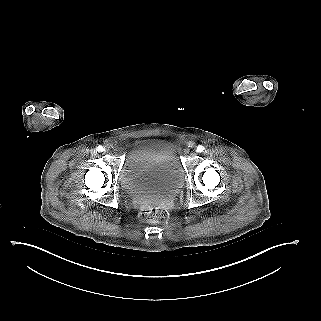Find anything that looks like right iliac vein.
<instances>
[{"mask_svg":"<svg viewBox=\"0 0 321 321\" xmlns=\"http://www.w3.org/2000/svg\"><path fill=\"white\" fill-rule=\"evenodd\" d=\"M104 151H105V153H108L109 148H108V147H106Z\"/></svg>","mask_w":321,"mask_h":321,"instance_id":"63e3f726","label":"right iliac vein"}]
</instances>
